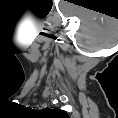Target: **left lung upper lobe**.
<instances>
[{
  "mask_svg": "<svg viewBox=\"0 0 118 118\" xmlns=\"http://www.w3.org/2000/svg\"><path fill=\"white\" fill-rule=\"evenodd\" d=\"M45 111H46L47 113L51 114V115H56V116H58V117L66 116V112H63V111L57 110V109L52 110V109L47 108Z\"/></svg>",
  "mask_w": 118,
  "mask_h": 118,
  "instance_id": "left-lung-upper-lobe-1",
  "label": "left lung upper lobe"
}]
</instances>
